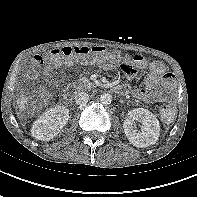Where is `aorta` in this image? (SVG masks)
Masks as SVG:
<instances>
[{
    "mask_svg": "<svg viewBox=\"0 0 197 197\" xmlns=\"http://www.w3.org/2000/svg\"><path fill=\"white\" fill-rule=\"evenodd\" d=\"M100 101L103 105H109L112 102V96L109 93H103L100 97Z\"/></svg>",
    "mask_w": 197,
    "mask_h": 197,
    "instance_id": "aorta-1",
    "label": "aorta"
}]
</instances>
